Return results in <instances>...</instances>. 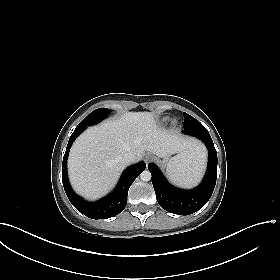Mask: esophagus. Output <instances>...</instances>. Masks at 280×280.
I'll return each instance as SVG.
<instances>
[{"label":"esophagus","mask_w":280,"mask_h":280,"mask_svg":"<svg viewBox=\"0 0 280 280\" xmlns=\"http://www.w3.org/2000/svg\"><path fill=\"white\" fill-rule=\"evenodd\" d=\"M152 159L151 155H146L145 156V161L148 163Z\"/></svg>","instance_id":"34e87169"}]
</instances>
